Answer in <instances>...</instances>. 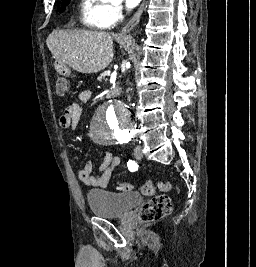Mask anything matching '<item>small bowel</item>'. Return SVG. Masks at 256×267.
I'll return each mask as SVG.
<instances>
[{
	"label": "small bowel",
	"instance_id": "obj_1",
	"mask_svg": "<svg viewBox=\"0 0 256 267\" xmlns=\"http://www.w3.org/2000/svg\"><path fill=\"white\" fill-rule=\"evenodd\" d=\"M91 91L83 90L79 94L80 102H88L91 99ZM81 116V108L77 103H73L65 109L60 118V126L63 128H75ZM120 158L111 152H106L104 161L100 167L99 174L93 175V164L87 161L85 165L78 170V178L89 187L105 188L111 179L114 170L119 166Z\"/></svg>",
	"mask_w": 256,
	"mask_h": 267
}]
</instances>
